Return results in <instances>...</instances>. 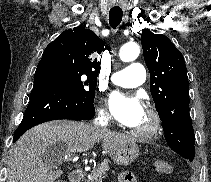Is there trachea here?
I'll list each match as a JSON object with an SVG mask.
<instances>
[{"label":"trachea","mask_w":211,"mask_h":182,"mask_svg":"<svg viewBox=\"0 0 211 182\" xmlns=\"http://www.w3.org/2000/svg\"><path fill=\"white\" fill-rule=\"evenodd\" d=\"M123 11L121 10H110L109 12V24L115 29L122 20Z\"/></svg>","instance_id":"3493384b"}]
</instances>
